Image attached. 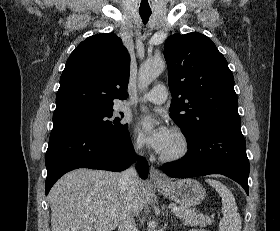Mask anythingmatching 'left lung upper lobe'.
Here are the masks:
<instances>
[{"instance_id":"5c2ea615","label":"left lung upper lobe","mask_w":280,"mask_h":231,"mask_svg":"<svg viewBox=\"0 0 280 231\" xmlns=\"http://www.w3.org/2000/svg\"><path fill=\"white\" fill-rule=\"evenodd\" d=\"M164 56L172 93L170 116L186 138L210 127L241 125L233 74L207 36L172 35Z\"/></svg>"}]
</instances>
